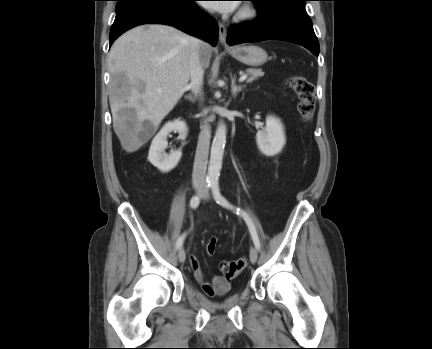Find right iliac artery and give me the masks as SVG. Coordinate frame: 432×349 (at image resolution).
I'll return each mask as SVG.
<instances>
[{"label":"right iliac artery","mask_w":432,"mask_h":349,"mask_svg":"<svg viewBox=\"0 0 432 349\" xmlns=\"http://www.w3.org/2000/svg\"><path fill=\"white\" fill-rule=\"evenodd\" d=\"M211 183H207L206 184V189H209L211 187ZM200 203V196H193L190 200V206L192 209H196L198 207ZM186 233L182 234L177 242H176V247L177 249L181 248V246L183 245L184 239H185Z\"/></svg>","instance_id":"82829eb1"}]
</instances>
